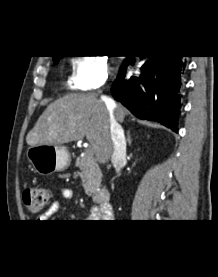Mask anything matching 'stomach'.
Listing matches in <instances>:
<instances>
[{
  "label": "stomach",
  "instance_id": "obj_1",
  "mask_svg": "<svg viewBox=\"0 0 218 277\" xmlns=\"http://www.w3.org/2000/svg\"><path fill=\"white\" fill-rule=\"evenodd\" d=\"M26 156L34 171L41 175L63 171L71 163L66 147L61 145L39 144L31 146L28 148Z\"/></svg>",
  "mask_w": 218,
  "mask_h": 277
}]
</instances>
